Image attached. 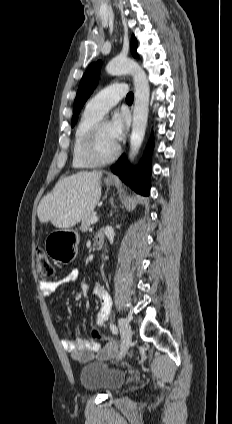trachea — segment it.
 <instances>
[{"label": "trachea", "mask_w": 232, "mask_h": 424, "mask_svg": "<svg viewBox=\"0 0 232 424\" xmlns=\"http://www.w3.org/2000/svg\"><path fill=\"white\" fill-rule=\"evenodd\" d=\"M133 97H134V95H133L132 92L128 93L127 96H126V101L127 102H132L133 101Z\"/></svg>", "instance_id": "trachea-1"}]
</instances>
